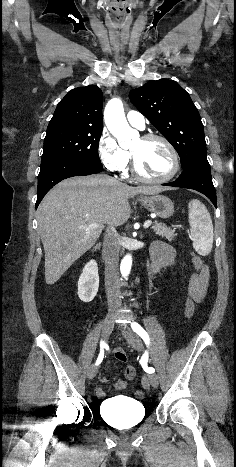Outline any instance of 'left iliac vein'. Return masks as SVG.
<instances>
[{
    "label": "left iliac vein",
    "mask_w": 236,
    "mask_h": 467,
    "mask_svg": "<svg viewBox=\"0 0 236 467\" xmlns=\"http://www.w3.org/2000/svg\"><path fill=\"white\" fill-rule=\"evenodd\" d=\"M123 335L126 338L127 342L130 344V346L135 349V350H140L142 348V341L139 338V336L129 327H124L123 330ZM150 384L156 388L159 385V378L156 373H151L148 375Z\"/></svg>",
    "instance_id": "1"
}]
</instances>
